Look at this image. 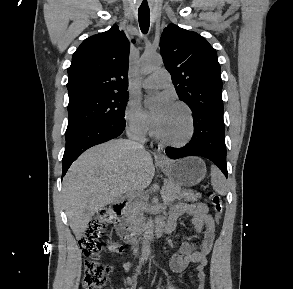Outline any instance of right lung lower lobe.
I'll use <instances>...</instances> for the list:
<instances>
[{"instance_id":"1","label":"right lung lower lobe","mask_w":293,"mask_h":289,"mask_svg":"<svg viewBox=\"0 0 293 289\" xmlns=\"http://www.w3.org/2000/svg\"><path fill=\"white\" fill-rule=\"evenodd\" d=\"M125 129V119L98 123L66 137L62 159V178L72 162L88 148L118 137Z\"/></svg>"}]
</instances>
